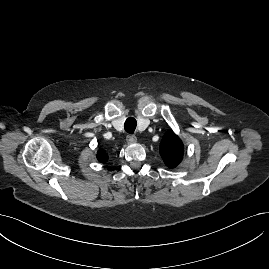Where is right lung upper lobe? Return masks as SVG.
Wrapping results in <instances>:
<instances>
[{
	"label": "right lung upper lobe",
	"mask_w": 269,
	"mask_h": 269,
	"mask_svg": "<svg viewBox=\"0 0 269 269\" xmlns=\"http://www.w3.org/2000/svg\"><path fill=\"white\" fill-rule=\"evenodd\" d=\"M97 159L104 163L108 160V155L107 153L104 151V150H99L98 153H97Z\"/></svg>",
	"instance_id": "cb5924a9"
}]
</instances>
